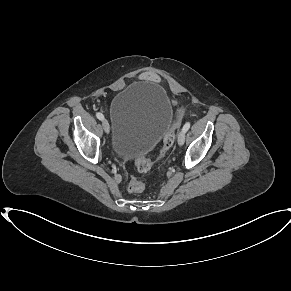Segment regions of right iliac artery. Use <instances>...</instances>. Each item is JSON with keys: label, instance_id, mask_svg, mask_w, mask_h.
<instances>
[{"label": "right iliac artery", "instance_id": "obj_1", "mask_svg": "<svg viewBox=\"0 0 291 291\" xmlns=\"http://www.w3.org/2000/svg\"><path fill=\"white\" fill-rule=\"evenodd\" d=\"M96 117H97L99 120H103V119H104L103 114L100 113V112L96 113Z\"/></svg>", "mask_w": 291, "mask_h": 291}]
</instances>
